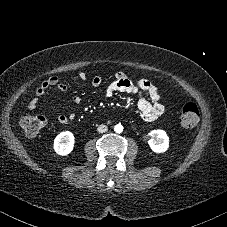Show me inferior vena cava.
<instances>
[{"mask_svg": "<svg viewBox=\"0 0 227 227\" xmlns=\"http://www.w3.org/2000/svg\"><path fill=\"white\" fill-rule=\"evenodd\" d=\"M107 130H108V128H107L106 125H99L98 128H97V131L99 133H105Z\"/></svg>", "mask_w": 227, "mask_h": 227, "instance_id": "1", "label": "inferior vena cava"}]
</instances>
